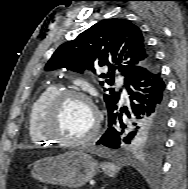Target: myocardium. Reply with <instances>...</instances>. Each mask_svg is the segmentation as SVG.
Segmentation results:
<instances>
[{
	"label": "myocardium",
	"mask_w": 188,
	"mask_h": 189,
	"mask_svg": "<svg viewBox=\"0 0 188 189\" xmlns=\"http://www.w3.org/2000/svg\"><path fill=\"white\" fill-rule=\"evenodd\" d=\"M70 99H80L85 101L94 115V123L89 133L77 139L63 137L54 130L56 116L60 107L65 101ZM40 128L45 137L55 142L70 146L82 145L92 141L98 135L101 128V114L96 103L86 93L70 89L60 90L47 103L42 114Z\"/></svg>",
	"instance_id": "obj_1"
}]
</instances>
